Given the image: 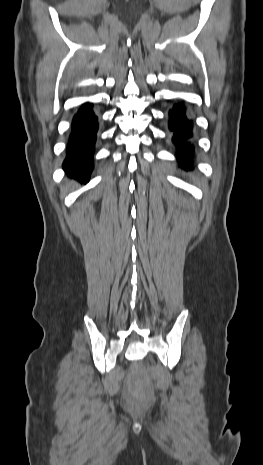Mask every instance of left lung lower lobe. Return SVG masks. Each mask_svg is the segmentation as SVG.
Segmentation results:
<instances>
[{
  "instance_id": "left-lung-lower-lobe-1",
  "label": "left lung lower lobe",
  "mask_w": 263,
  "mask_h": 465,
  "mask_svg": "<svg viewBox=\"0 0 263 465\" xmlns=\"http://www.w3.org/2000/svg\"><path fill=\"white\" fill-rule=\"evenodd\" d=\"M169 128L173 131V142L179 146L178 160L181 167L184 169L192 168V159L187 157V154L192 156L194 147L190 142L192 138V121L186 116V109L177 104L174 110L170 111Z\"/></svg>"
}]
</instances>
